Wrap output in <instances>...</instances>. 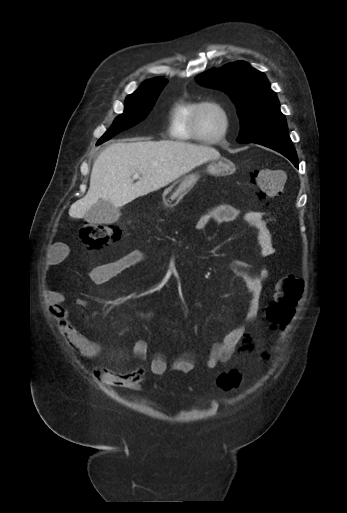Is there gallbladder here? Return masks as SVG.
<instances>
[{"instance_id":"1","label":"gallbladder","mask_w":347,"mask_h":513,"mask_svg":"<svg viewBox=\"0 0 347 513\" xmlns=\"http://www.w3.org/2000/svg\"><path fill=\"white\" fill-rule=\"evenodd\" d=\"M120 215L119 207L100 200L85 213L84 219L91 224H111L116 222Z\"/></svg>"}]
</instances>
